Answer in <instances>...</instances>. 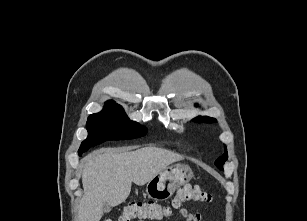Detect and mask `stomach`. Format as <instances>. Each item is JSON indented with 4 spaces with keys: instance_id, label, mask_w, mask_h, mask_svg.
I'll use <instances>...</instances> for the list:
<instances>
[{
    "instance_id": "stomach-1",
    "label": "stomach",
    "mask_w": 307,
    "mask_h": 221,
    "mask_svg": "<svg viewBox=\"0 0 307 221\" xmlns=\"http://www.w3.org/2000/svg\"><path fill=\"white\" fill-rule=\"evenodd\" d=\"M193 177L191 168L184 164L167 166L146 186L147 195L155 200H166L172 196L176 188L189 182Z\"/></svg>"
}]
</instances>
